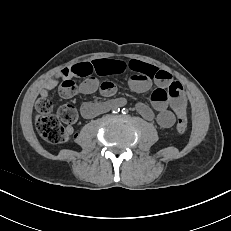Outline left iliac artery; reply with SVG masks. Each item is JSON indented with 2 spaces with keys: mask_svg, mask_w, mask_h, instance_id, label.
I'll return each instance as SVG.
<instances>
[{
  "mask_svg": "<svg viewBox=\"0 0 231 231\" xmlns=\"http://www.w3.org/2000/svg\"><path fill=\"white\" fill-rule=\"evenodd\" d=\"M122 113H123V114H126V113H128V110L125 109V108H123V109H122Z\"/></svg>",
  "mask_w": 231,
  "mask_h": 231,
  "instance_id": "44dca946",
  "label": "left iliac artery"
}]
</instances>
